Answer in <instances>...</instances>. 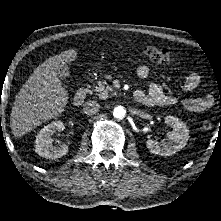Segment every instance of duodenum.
Segmentation results:
<instances>
[{
  "label": "duodenum",
  "instance_id": "410a0bca",
  "mask_svg": "<svg viewBox=\"0 0 221 221\" xmlns=\"http://www.w3.org/2000/svg\"><path fill=\"white\" fill-rule=\"evenodd\" d=\"M86 96H87V90L84 86L80 87L78 89V91L76 92L75 96H74V99H73V103L76 105V106H80L83 104V102L85 101L86 99ZM138 96V92L135 91L133 93V98L135 99L136 97Z\"/></svg>",
  "mask_w": 221,
  "mask_h": 221
}]
</instances>
